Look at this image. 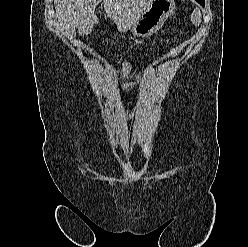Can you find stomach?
I'll use <instances>...</instances> for the list:
<instances>
[{"mask_svg":"<svg viewBox=\"0 0 248 247\" xmlns=\"http://www.w3.org/2000/svg\"><path fill=\"white\" fill-rule=\"evenodd\" d=\"M176 9L174 0H150L129 31L136 37H147L158 31Z\"/></svg>","mask_w":248,"mask_h":247,"instance_id":"1","label":"stomach"}]
</instances>
